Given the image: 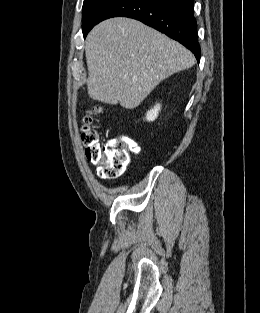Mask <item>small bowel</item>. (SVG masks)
<instances>
[{
    "instance_id": "c3829d8e",
    "label": "small bowel",
    "mask_w": 260,
    "mask_h": 313,
    "mask_svg": "<svg viewBox=\"0 0 260 313\" xmlns=\"http://www.w3.org/2000/svg\"><path fill=\"white\" fill-rule=\"evenodd\" d=\"M134 152H135L136 154H139V153H140V149H139V148L134 147Z\"/></svg>"
}]
</instances>
